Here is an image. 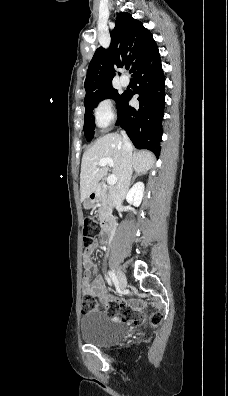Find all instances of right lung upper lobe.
<instances>
[{"label":"right lung upper lobe","instance_id":"cb5924a9","mask_svg":"<svg viewBox=\"0 0 228 396\" xmlns=\"http://www.w3.org/2000/svg\"><path fill=\"white\" fill-rule=\"evenodd\" d=\"M155 46L157 45L152 34L140 21L128 13H119L115 28L111 32L109 48H98L89 64L85 79V99L112 86L115 67L129 63L130 72L134 73Z\"/></svg>","mask_w":228,"mask_h":396}]
</instances>
